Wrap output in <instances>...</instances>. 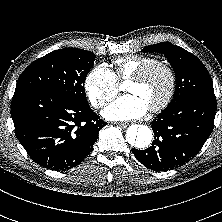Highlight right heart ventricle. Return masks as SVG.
<instances>
[{"instance_id":"right-heart-ventricle-1","label":"right heart ventricle","mask_w":222,"mask_h":222,"mask_svg":"<svg viewBox=\"0 0 222 222\" xmlns=\"http://www.w3.org/2000/svg\"><path fill=\"white\" fill-rule=\"evenodd\" d=\"M152 57L131 55L114 60L115 77L125 81L134 74L140 67L153 61Z\"/></svg>"}]
</instances>
